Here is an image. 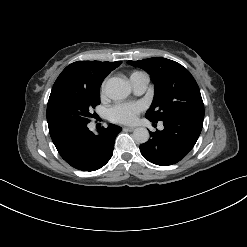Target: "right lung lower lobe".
Masks as SVG:
<instances>
[{"mask_svg":"<svg viewBox=\"0 0 247 247\" xmlns=\"http://www.w3.org/2000/svg\"><path fill=\"white\" fill-rule=\"evenodd\" d=\"M121 127L110 125L95 135L87 125L71 127L51 136L61 157L72 167L82 171H95L112 157L114 141Z\"/></svg>","mask_w":247,"mask_h":247,"instance_id":"obj_1","label":"right lung lower lobe"}]
</instances>
